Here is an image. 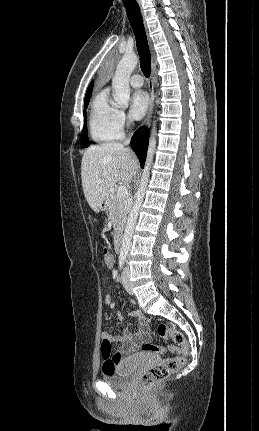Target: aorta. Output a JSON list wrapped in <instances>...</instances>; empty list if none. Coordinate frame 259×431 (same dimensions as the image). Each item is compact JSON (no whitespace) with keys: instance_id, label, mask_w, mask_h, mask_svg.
<instances>
[{"instance_id":"1","label":"aorta","mask_w":259,"mask_h":431,"mask_svg":"<svg viewBox=\"0 0 259 431\" xmlns=\"http://www.w3.org/2000/svg\"><path fill=\"white\" fill-rule=\"evenodd\" d=\"M138 58L134 54H125L120 60L116 67L115 74L112 79V86L114 89V101L117 107L126 108L128 107L130 100V87L129 79L130 76L137 66ZM156 148V125L153 123V128L151 130V137L149 141L148 151L145 166L143 169V174L141 177V182L139 189L136 193V199L129 213L127 224L125 227L121 254L127 256L131 246V239L134 232V227L137 222L138 213L140 207L143 203L146 187L148 185L150 177V168L153 162L154 152Z\"/></svg>"}]
</instances>
